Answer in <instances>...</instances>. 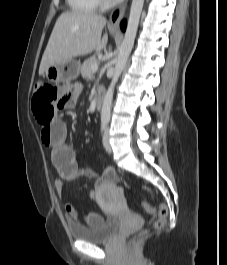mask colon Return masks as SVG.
Returning <instances> with one entry per match:
<instances>
[{
    "mask_svg": "<svg viewBox=\"0 0 227 265\" xmlns=\"http://www.w3.org/2000/svg\"><path fill=\"white\" fill-rule=\"evenodd\" d=\"M59 99H65L59 87L41 81L36 82L32 109L42 128L47 127L53 120L55 111L58 108L57 104ZM142 207L147 213L156 214V218L153 221V228L160 229L164 225L168 215L167 207L161 203L157 208H154L147 202H144Z\"/></svg>",
    "mask_w": 227,
    "mask_h": 265,
    "instance_id": "1",
    "label": "colon"
}]
</instances>
